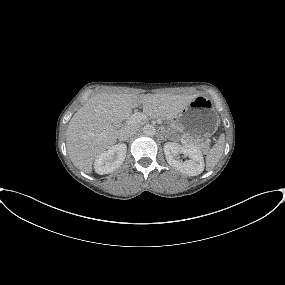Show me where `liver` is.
<instances>
[{
	"label": "liver",
	"instance_id": "6515ba94",
	"mask_svg": "<svg viewBox=\"0 0 285 285\" xmlns=\"http://www.w3.org/2000/svg\"><path fill=\"white\" fill-rule=\"evenodd\" d=\"M198 95L101 93L90 97L73 115L66 131L67 153L79 170L92 173L98 155L118 138L113 124L128 119L132 109L142 104L145 116L171 120ZM138 128V123L127 124Z\"/></svg>",
	"mask_w": 285,
	"mask_h": 285
}]
</instances>
